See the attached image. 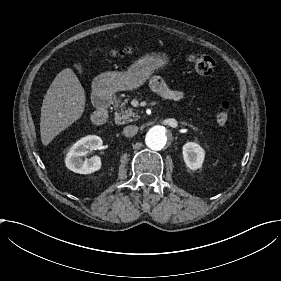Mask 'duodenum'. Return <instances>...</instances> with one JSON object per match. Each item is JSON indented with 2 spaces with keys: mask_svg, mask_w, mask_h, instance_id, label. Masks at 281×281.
<instances>
[{
  "mask_svg": "<svg viewBox=\"0 0 281 281\" xmlns=\"http://www.w3.org/2000/svg\"><path fill=\"white\" fill-rule=\"evenodd\" d=\"M93 102L96 110L92 120L96 125L102 126L107 123L109 118L108 109L111 103V96L105 90H98L93 95Z\"/></svg>",
  "mask_w": 281,
  "mask_h": 281,
  "instance_id": "1",
  "label": "duodenum"
}]
</instances>
